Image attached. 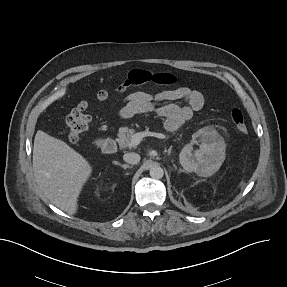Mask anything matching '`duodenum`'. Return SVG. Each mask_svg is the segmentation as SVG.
<instances>
[{"mask_svg": "<svg viewBox=\"0 0 287 287\" xmlns=\"http://www.w3.org/2000/svg\"><path fill=\"white\" fill-rule=\"evenodd\" d=\"M101 149L105 154H114L117 151V144L115 140L106 138L101 141Z\"/></svg>", "mask_w": 287, "mask_h": 287, "instance_id": "obj_1", "label": "duodenum"}]
</instances>
